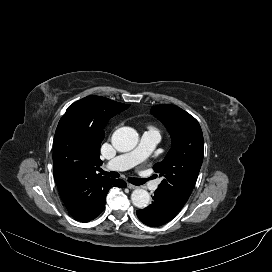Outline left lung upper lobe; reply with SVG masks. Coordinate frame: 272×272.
Here are the masks:
<instances>
[{
  "label": "left lung upper lobe",
  "mask_w": 272,
  "mask_h": 272,
  "mask_svg": "<svg viewBox=\"0 0 272 272\" xmlns=\"http://www.w3.org/2000/svg\"><path fill=\"white\" fill-rule=\"evenodd\" d=\"M151 113L166 126L172 138V147L164 160L153 166L163 177L156 191L183 207L203 161L201 127L193 116L174 105L154 106Z\"/></svg>",
  "instance_id": "left-lung-upper-lobe-1"
}]
</instances>
